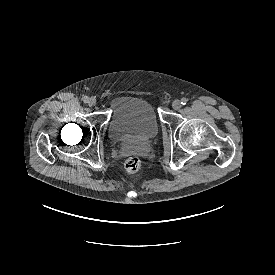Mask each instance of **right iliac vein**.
Returning <instances> with one entry per match:
<instances>
[{"instance_id":"obj_1","label":"right iliac vein","mask_w":275,"mask_h":275,"mask_svg":"<svg viewBox=\"0 0 275 275\" xmlns=\"http://www.w3.org/2000/svg\"><path fill=\"white\" fill-rule=\"evenodd\" d=\"M96 99L95 98H90L89 99V102H88V105L90 106V107H94L95 105H96Z\"/></svg>"}]
</instances>
